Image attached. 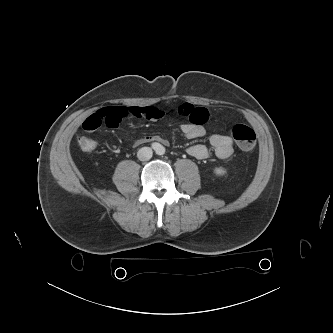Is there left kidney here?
<instances>
[{
    "mask_svg": "<svg viewBox=\"0 0 333 333\" xmlns=\"http://www.w3.org/2000/svg\"><path fill=\"white\" fill-rule=\"evenodd\" d=\"M214 172L217 175H223L225 173L223 168H215Z\"/></svg>",
    "mask_w": 333,
    "mask_h": 333,
    "instance_id": "left-kidney-1",
    "label": "left kidney"
}]
</instances>
